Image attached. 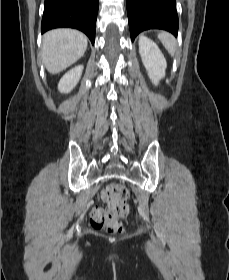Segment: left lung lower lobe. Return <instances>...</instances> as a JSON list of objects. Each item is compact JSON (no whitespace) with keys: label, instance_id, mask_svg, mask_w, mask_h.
Returning a JSON list of instances; mask_svg holds the SVG:
<instances>
[{"label":"left lung lower lobe","instance_id":"0a47b994","mask_svg":"<svg viewBox=\"0 0 229 280\" xmlns=\"http://www.w3.org/2000/svg\"><path fill=\"white\" fill-rule=\"evenodd\" d=\"M131 39L148 29H163L177 36L176 0H126Z\"/></svg>","mask_w":229,"mask_h":280}]
</instances>
